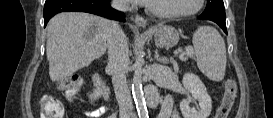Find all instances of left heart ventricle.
<instances>
[{
    "mask_svg": "<svg viewBox=\"0 0 273 118\" xmlns=\"http://www.w3.org/2000/svg\"><path fill=\"white\" fill-rule=\"evenodd\" d=\"M150 4L160 12H184L192 9L196 0H153Z\"/></svg>",
    "mask_w": 273,
    "mask_h": 118,
    "instance_id": "left-heart-ventricle-1",
    "label": "left heart ventricle"
}]
</instances>
